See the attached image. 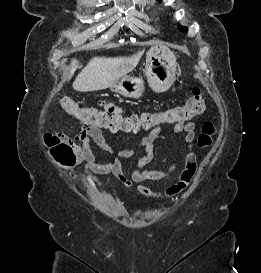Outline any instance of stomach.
<instances>
[{
    "label": "stomach",
    "mask_w": 261,
    "mask_h": 273,
    "mask_svg": "<svg viewBox=\"0 0 261 273\" xmlns=\"http://www.w3.org/2000/svg\"><path fill=\"white\" fill-rule=\"evenodd\" d=\"M176 57L165 46H153L146 53L145 77L154 92L167 91L175 81ZM111 89L124 97L139 98L144 92L141 77L123 76Z\"/></svg>",
    "instance_id": "1"
}]
</instances>
